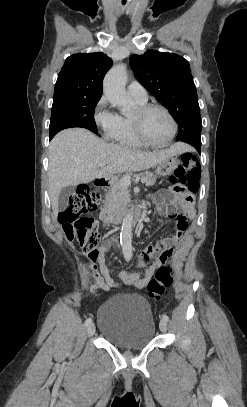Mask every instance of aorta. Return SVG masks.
Masks as SVG:
<instances>
[{"instance_id":"obj_1","label":"aorta","mask_w":247,"mask_h":407,"mask_svg":"<svg viewBox=\"0 0 247 407\" xmlns=\"http://www.w3.org/2000/svg\"><path fill=\"white\" fill-rule=\"evenodd\" d=\"M127 71L126 66L121 64L112 68L103 81V92L109 102L121 108V112L126 114L131 109V99L126 93ZM132 223L133 213H128L122 222L120 243L125 256L132 255Z\"/></svg>"}]
</instances>
